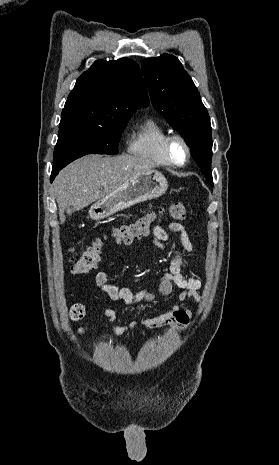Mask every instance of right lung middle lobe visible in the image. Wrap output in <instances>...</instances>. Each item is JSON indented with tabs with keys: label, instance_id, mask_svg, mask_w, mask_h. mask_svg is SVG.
Returning a JSON list of instances; mask_svg holds the SVG:
<instances>
[{
	"label": "right lung middle lobe",
	"instance_id": "dd1d6c3e",
	"mask_svg": "<svg viewBox=\"0 0 279 465\" xmlns=\"http://www.w3.org/2000/svg\"><path fill=\"white\" fill-rule=\"evenodd\" d=\"M132 112H115L103 123L59 127L53 168L65 167L87 154L118 153L117 145Z\"/></svg>",
	"mask_w": 279,
	"mask_h": 465
}]
</instances>
